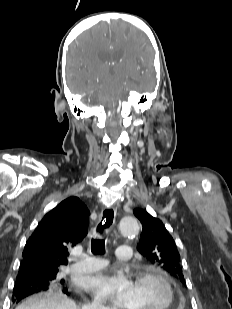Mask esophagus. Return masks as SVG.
<instances>
[{"mask_svg":"<svg viewBox=\"0 0 232 309\" xmlns=\"http://www.w3.org/2000/svg\"><path fill=\"white\" fill-rule=\"evenodd\" d=\"M116 210L112 206H107L102 210L101 216L95 224L92 232L95 237H105L115 223Z\"/></svg>","mask_w":232,"mask_h":309,"instance_id":"esophagus-1","label":"esophagus"}]
</instances>
